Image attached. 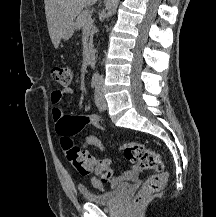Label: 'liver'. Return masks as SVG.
<instances>
[{
  "label": "liver",
  "instance_id": "1",
  "mask_svg": "<svg viewBox=\"0 0 216 217\" xmlns=\"http://www.w3.org/2000/svg\"><path fill=\"white\" fill-rule=\"evenodd\" d=\"M98 0H44L49 35L58 48L65 31L73 24L75 17L87 6Z\"/></svg>",
  "mask_w": 216,
  "mask_h": 217
}]
</instances>
